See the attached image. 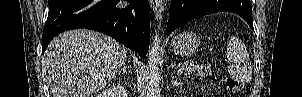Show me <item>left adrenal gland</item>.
<instances>
[{
    "label": "left adrenal gland",
    "mask_w": 302,
    "mask_h": 97,
    "mask_svg": "<svg viewBox=\"0 0 302 97\" xmlns=\"http://www.w3.org/2000/svg\"><path fill=\"white\" fill-rule=\"evenodd\" d=\"M171 78H172L171 79V83H172L173 86H177L178 87V86L181 85V82H179L177 79H175L174 75H171Z\"/></svg>",
    "instance_id": "obj_1"
}]
</instances>
